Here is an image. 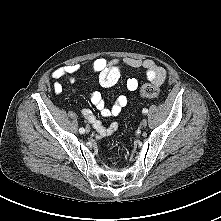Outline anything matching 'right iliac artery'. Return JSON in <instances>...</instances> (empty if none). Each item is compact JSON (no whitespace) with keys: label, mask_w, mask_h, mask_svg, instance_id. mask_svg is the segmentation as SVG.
<instances>
[{"label":"right iliac artery","mask_w":221,"mask_h":221,"mask_svg":"<svg viewBox=\"0 0 221 221\" xmlns=\"http://www.w3.org/2000/svg\"><path fill=\"white\" fill-rule=\"evenodd\" d=\"M79 132H80L81 134H83V133L85 132V129H84V128H80V129H79Z\"/></svg>","instance_id":"right-iliac-artery-1"}]
</instances>
